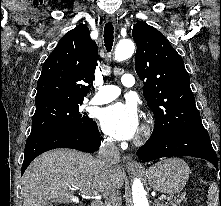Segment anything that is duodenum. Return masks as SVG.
I'll return each instance as SVG.
<instances>
[{"instance_id": "1", "label": "duodenum", "mask_w": 221, "mask_h": 206, "mask_svg": "<svg viewBox=\"0 0 221 206\" xmlns=\"http://www.w3.org/2000/svg\"><path fill=\"white\" fill-rule=\"evenodd\" d=\"M91 206H103V204L100 202H94Z\"/></svg>"}]
</instances>
